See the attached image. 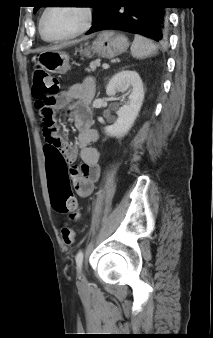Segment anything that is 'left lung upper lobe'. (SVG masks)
Here are the masks:
<instances>
[{
  "instance_id": "left-lung-upper-lobe-1",
  "label": "left lung upper lobe",
  "mask_w": 213,
  "mask_h": 338,
  "mask_svg": "<svg viewBox=\"0 0 213 338\" xmlns=\"http://www.w3.org/2000/svg\"><path fill=\"white\" fill-rule=\"evenodd\" d=\"M102 0H94L92 3L93 4H95L94 6H93V8H94V11H95V18H96V16H97V14H98V12H99V10H100V7H101V2ZM38 10V7H34V13L36 12Z\"/></svg>"
}]
</instances>
